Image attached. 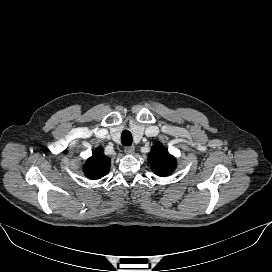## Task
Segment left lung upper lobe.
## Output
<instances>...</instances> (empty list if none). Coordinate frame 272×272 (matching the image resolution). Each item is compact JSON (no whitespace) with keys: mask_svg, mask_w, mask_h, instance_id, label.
Here are the masks:
<instances>
[{"mask_svg":"<svg viewBox=\"0 0 272 272\" xmlns=\"http://www.w3.org/2000/svg\"><path fill=\"white\" fill-rule=\"evenodd\" d=\"M149 161L158 176H168L176 168V159L161 144H157L151 149Z\"/></svg>","mask_w":272,"mask_h":272,"instance_id":"5c2ea615","label":"left lung upper lobe"}]
</instances>
